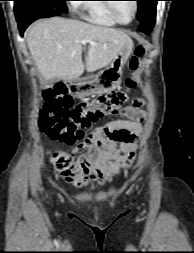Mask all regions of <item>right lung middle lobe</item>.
Returning <instances> with one entry per match:
<instances>
[{
  "instance_id": "right-lung-middle-lobe-1",
  "label": "right lung middle lobe",
  "mask_w": 194,
  "mask_h": 253,
  "mask_svg": "<svg viewBox=\"0 0 194 253\" xmlns=\"http://www.w3.org/2000/svg\"><path fill=\"white\" fill-rule=\"evenodd\" d=\"M65 1L68 0H14L16 17L22 15L33 16L41 9H57L63 13L67 12Z\"/></svg>"
}]
</instances>
